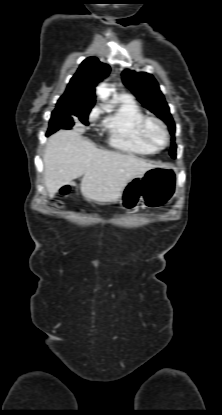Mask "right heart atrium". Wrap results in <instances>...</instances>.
Instances as JSON below:
<instances>
[{"label": "right heart atrium", "mask_w": 222, "mask_h": 415, "mask_svg": "<svg viewBox=\"0 0 222 415\" xmlns=\"http://www.w3.org/2000/svg\"><path fill=\"white\" fill-rule=\"evenodd\" d=\"M99 115H100L99 109L98 108H93L90 111L89 115H88V121L90 123L96 122L98 120V118H99Z\"/></svg>", "instance_id": "right-heart-atrium-1"}]
</instances>
